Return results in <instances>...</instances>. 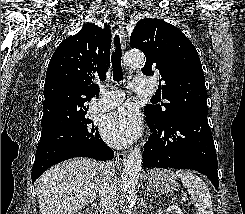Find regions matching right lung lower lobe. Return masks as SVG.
<instances>
[{
    "label": "right lung lower lobe",
    "instance_id": "obj_1",
    "mask_svg": "<svg viewBox=\"0 0 245 214\" xmlns=\"http://www.w3.org/2000/svg\"><path fill=\"white\" fill-rule=\"evenodd\" d=\"M93 136L91 143L85 146H80L68 138L40 140L32 167V183L51 166L70 158L89 157L102 161L111 160L114 157L113 150L104 143L95 130Z\"/></svg>",
    "mask_w": 245,
    "mask_h": 214
}]
</instances>
